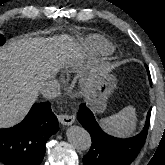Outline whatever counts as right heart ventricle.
<instances>
[{
    "mask_svg": "<svg viewBox=\"0 0 165 165\" xmlns=\"http://www.w3.org/2000/svg\"><path fill=\"white\" fill-rule=\"evenodd\" d=\"M88 45L92 50L100 54H109L113 51L112 46L98 36L90 37L88 39Z\"/></svg>",
    "mask_w": 165,
    "mask_h": 165,
    "instance_id": "obj_1",
    "label": "right heart ventricle"
}]
</instances>
